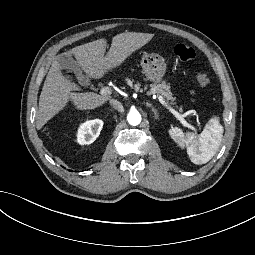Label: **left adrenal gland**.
<instances>
[{"label": "left adrenal gland", "mask_w": 255, "mask_h": 255, "mask_svg": "<svg viewBox=\"0 0 255 255\" xmlns=\"http://www.w3.org/2000/svg\"><path fill=\"white\" fill-rule=\"evenodd\" d=\"M146 105L152 109V111H153V113H154L155 119H158V112H157V109L154 108L150 103H146Z\"/></svg>", "instance_id": "obj_1"}]
</instances>
